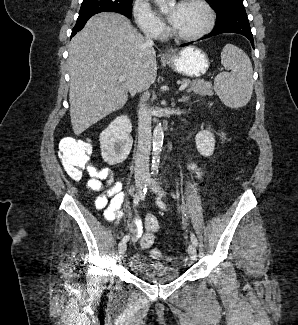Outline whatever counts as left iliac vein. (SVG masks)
I'll use <instances>...</instances> for the list:
<instances>
[{"label": "left iliac vein", "instance_id": "obj_1", "mask_svg": "<svg viewBox=\"0 0 298 325\" xmlns=\"http://www.w3.org/2000/svg\"><path fill=\"white\" fill-rule=\"evenodd\" d=\"M149 188L159 196H164V192L161 187L157 184L156 180L149 178L148 180ZM188 254L191 260L195 261L197 259L196 246L193 243L188 245Z\"/></svg>", "mask_w": 298, "mask_h": 325}]
</instances>
